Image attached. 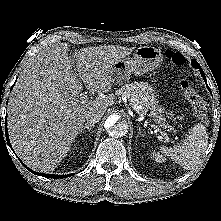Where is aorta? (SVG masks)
<instances>
[{"label": "aorta", "instance_id": "762f6f07", "mask_svg": "<svg viewBox=\"0 0 221 221\" xmlns=\"http://www.w3.org/2000/svg\"><path fill=\"white\" fill-rule=\"evenodd\" d=\"M105 129L109 136L120 138L127 134L129 128L125 120L114 114L105 121Z\"/></svg>", "mask_w": 221, "mask_h": 221}]
</instances>
